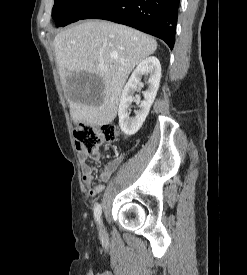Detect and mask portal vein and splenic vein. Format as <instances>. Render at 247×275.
<instances>
[{
    "label": "portal vein and splenic vein",
    "instance_id": "obj_1",
    "mask_svg": "<svg viewBox=\"0 0 247 275\" xmlns=\"http://www.w3.org/2000/svg\"><path fill=\"white\" fill-rule=\"evenodd\" d=\"M101 70H102V71H105V67H104V66H101Z\"/></svg>",
    "mask_w": 247,
    "mask_h": 275
}]
</instances>
